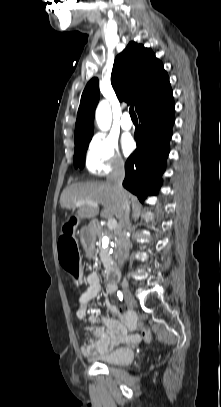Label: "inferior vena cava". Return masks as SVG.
<instances>
[{"mask_svg":"<svg viewBox=\"0 0 221 407\" xmlns=\"http://www.w3.org/2000/svg\"><path fill=\"white\" fill-rule=\"evenodd\" d=\"M125 170L124 162L118 160L113 164L112 170L107 177V182L112 186L114 194L118 203L120 204L119 209V221L121 225V230L118 233V266L121 268L128 257L130 241L127 232L131 226L129 220L130 204L126 191L122 186L124 180Z\"/></svg>","mask_w":221,"mask_h":407,"instance_id":"obj_1","label":"inferior vena cava"}]
</instances>
